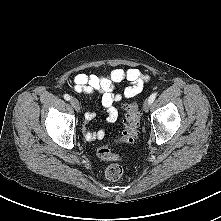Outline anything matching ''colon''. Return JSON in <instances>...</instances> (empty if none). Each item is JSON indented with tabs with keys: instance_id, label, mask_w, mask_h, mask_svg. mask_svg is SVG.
<instances>
[{
	"instance_id": "obj_1",
	"label": "colon",
	"mask_w": 221,
	"mask_h": 221,
	"mask_svg": "<svg viewBox=\"0 0 221 221\" xmlns=\"http://www.w3.org/2000/svg\"><path fill=\"white\" fill-rule=\"evenodd\" d=\"M140 113L136 103H130L125 106V115L123 119V128L120 136L114 139L115 143H134L139 135ZM97 156L106 161H118L120 158L115 154L109 145L104 144L96 151ZM123 167L118 163H112L105 170V177L108 180L116 181L121 178Z\"/></svg>"
}]
</instances>
